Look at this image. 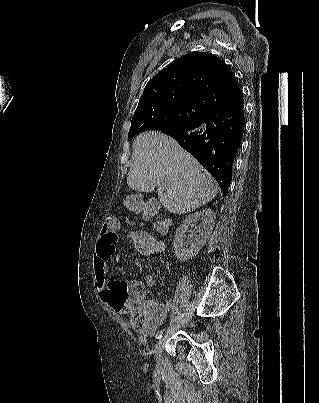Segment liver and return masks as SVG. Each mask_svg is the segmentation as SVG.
Listing matches in <instances>:
<instances>
[{
	"mask_svg": "<svg viewBox=\"0 0 319 403\" xmlns=\"http://www.w3.org/2000/svg\"><path fill=\"white\" fill-rule=\"evenodd\" d=\"M132 148L134 163L128 186L137 192L157 188L158 198L169 212H192L217 195L215 180L175 139L146 131L136 137Z\"/></svg>",
	"mask_w": 319,
	"mask_h": 403,
	"instance_id": "liver-1",
	"label": "liver"
}]
</instances>
